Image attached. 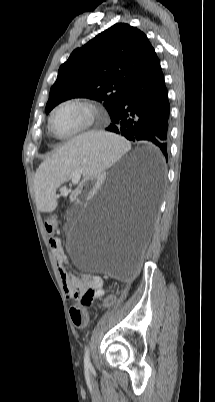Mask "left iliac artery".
Here are the masks:
<instances>
[{
	"label": "left iliac artery",
	"instance_id": "left-iliac-artery-1",
	"mask_svg": "<svg viewBox=\"0 0 215 402\" xmlns=\"http://www.w3.org/2000/svg\"><path fill=\"white\" fill-rule=\"evenodd\" d=\"M84 366L86 368H90L91 362H90V351H89V347H86L85 349V353H84Z\"/></svg>",
	"mask_w": 215,
	"mask_h": 402
}]
</instances>
